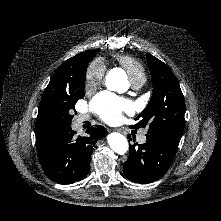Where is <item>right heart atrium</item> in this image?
Instances as JSON below:
<instances>
[{"instance_id":"obj_1","label":"right heart atrium","mask_w":221,"mask_h":221,"mask_svg":"<svg viewBox=\"0 0 221 221\" xmlns=\"http://www.w3.org/2000/svg\"><path fill=\"white\" fill-rule=\"evenodd\" d=\"M105 74V65L101 60H93L85 72L84 84L86 90H92L98 86Z\"/></svg>"}]
</instances>
